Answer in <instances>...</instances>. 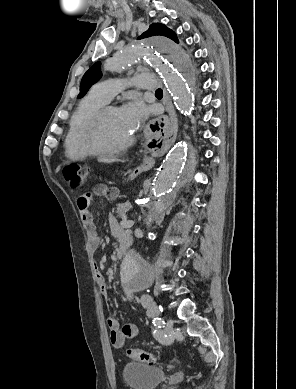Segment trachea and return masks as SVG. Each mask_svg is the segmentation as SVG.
I'll return each mask as SVG.
<instances>
[{"label":"trachea","instance_id":"trachea-1","mask_svg":"<svg viewBox=\"0 0 296 389\" xmlns=\"http://www.w3.org/2000/svg\"><path fill=\"white\" fill-rule=\"evenodd\" d=\"M155 94L156 95H162L163 94L162 89H157Z\"/></svg>","mask_w":296,"mask_h":389}]
</instances>
